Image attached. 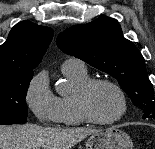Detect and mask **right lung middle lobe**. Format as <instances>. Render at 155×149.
<instances>
[{
  "instance_id": "right-lung-middle-lobe-1",
  "label": "right lung middle lobe",
  "mask_w": 155,
  "mask_h": 149,
  "mask_svg": "<svg viewBox=\"0 0 155 149\" xmlns=\"http://www.w3.org/2000/svg\"><path fill=\"white\" fill-rule=\"evenodd\" d=\"M33 73L0 77V125L26 123V92Z\"/></svg>"
}]
</instances>
